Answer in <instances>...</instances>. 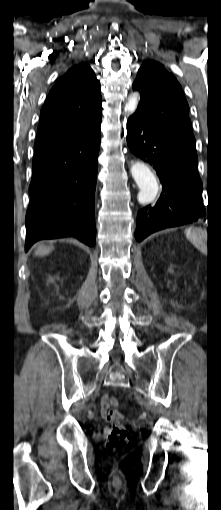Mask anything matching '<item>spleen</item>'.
Listing matches in <instances>:
<instances>
[{
	"label": "spleen",
	"mask_w": 221,
	"mask_h": 510,
	"mask_svg": "<svg viewBox=\"0 0 221 510\" xmlns=\"http://www.w3.org/2000/svg\"><path fill=\"white\" fill-rule=\"evenodd\" d=\"M187 239L201 252L207 251V232L201 228L190 227L185 230Z\"/></svg>",
	"instance_id": "1"
}]
</instances>
